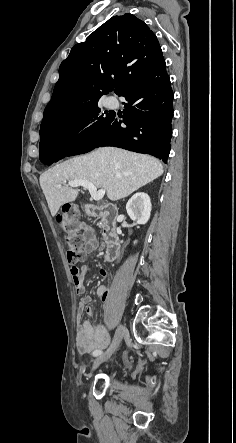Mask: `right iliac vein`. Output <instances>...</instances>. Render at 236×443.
I'll list each match as a JSON object with an SVG mask.
<instances>
[{"label":"right iliac vein","mask_w":236,"mask_h":443,"mask_svg":"<svg viewBox=\"0 0 236 443\" xmlns=\"http://www.w3.org/2000/svg\"><path fill=\"white\" fill-rule=\"evenodd\" d=\"M125 328L123 325H119L118 328L115 331L112 343L110 347L101 355L97 357V359L94 361L92 371L89 374V377L92 376V372L103 362L107 361L111 355L115 352V350L120 345L123 335H124Z\"/></svg>","instance_id":"63e3f726"}]
</instances>
